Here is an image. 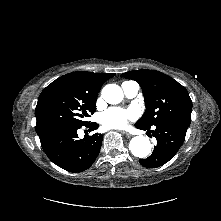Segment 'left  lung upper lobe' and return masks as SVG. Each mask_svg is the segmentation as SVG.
Here are the masks:
<instances>
[{"label":"left lung upper lobe","mask_w":221,"mask_h":221,"mask_svg":"<svg viewBox=\"0 0 221 221\" xmlns=\"http://www.w3.org/2000/svg\"><path fill=\"white\" fill-rule=\"evenodd\" d=\"M142 88L146 111L136 124L145 128L161 124L190 126L192 101L187 90L170 76L155 70H135L121 74Z\"/></svg>","instance_id":"obj_1"}]
</instances>
